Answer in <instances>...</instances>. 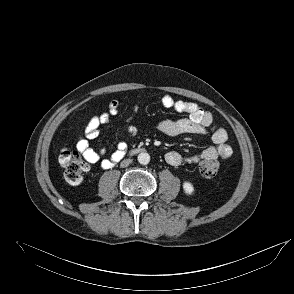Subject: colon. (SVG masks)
<instances>
[{"instance_id": "5ec220e1", "label": "colon", "mask_w": 294, "mask_h": 294, "mask_svg": "<svg viewBox=\"0 0 294 294\" xmlns=\"http://www.w3.org/2000/svg\"><path fill=\"white\" fill-rule=\"evenodd\" d=\"M59 164L64 168V178L72 185L83 181L84 173L88 166L78 151L62 148L58 156ZM219 170V162L216 158H203L199 162V171L206 178L214 177Z\"/></svg>"}]
</instances>
